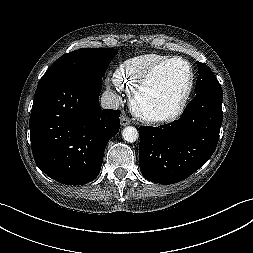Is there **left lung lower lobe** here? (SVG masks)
Instances as JSON below:
<instances>
[{
	"instance_id": "0a47b994",
	"label": "left lung lower lobe",
	"mask_w": 253,
	"mask_h": 253,
	"mask_svg": "<svg viewBox=\"0 0 253 253\" xmlns=\"http://www.w3.org/2000/svg\"><path fill=\"white\" fill-rule=\"evenodd\" d=\"M223 95H197L177 121L140 126L139 165L145 179L173 184L201 168L216 149Z\"/></svg>"
}]
</instances>
